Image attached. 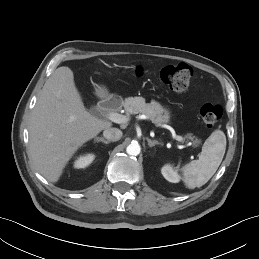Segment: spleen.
Here are the masks:
<instances>
[{"label": "spleen", "mask_w": 259, "mask_h": 259, "mask_svg": "<svg viewBox=\"0 0 259 259\" xmlns=\"http://www.w3.org/2000/svg\"><path fill=\"white\" fill-rule=\"evenodd\" d=\"M225 150L224 132L213 131L204 142L199 158L184 165L181 169L186 187L194 189L206 184L221 164Z\"/></svg>", "instance_id": "1"}]
</instances>
